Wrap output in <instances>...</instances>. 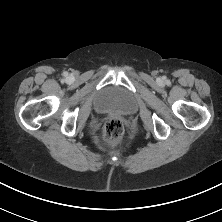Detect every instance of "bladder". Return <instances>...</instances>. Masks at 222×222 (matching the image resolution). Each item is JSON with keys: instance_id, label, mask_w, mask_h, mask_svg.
Returning a JSON list of instances; mask_svg holds the SVG:
<instances>
[{"instance_id": "obj_1", "label": "bladder", "mask_w": 222, "mask_h": 222, "mask_svg": "<svg viewBox=\"0 0 222 222\" xmlns=\"http://www.w3.org/2000/svg\"><path fill=\"white\" fill-rule=\"evenodd\" d=\"M93 107L100 114L130 115L137 110V101L128 90L110 86L103 88L95 95Z\"/></svg>"}]
</instances>
